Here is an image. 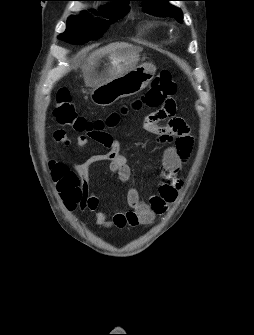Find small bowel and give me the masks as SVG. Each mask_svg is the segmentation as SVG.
I'll list each match as a JSON object with an SVG mask.
<instances>
[{"mask_svg": "<svg viewBox=\"0 0 254 335\" xmlns=\"http://www.w3.org/2000/svg\"><path fill=\"white\" fill-rule=\"evenodd\" d=\"M175 110L174 96L165 98L162 108H152L145 122V129L148 132L158 135L164 140L174 136V142L166 147L162 155L161 166L165 181L160 185L156 195L145 202L141 199L138 191L131 187L127 192V203L130 210L116 213L98 211V199L88 192L90 167L98 162H109V171L122 182L130 180L131 169L126 156L121 151L120 143L112 136L108 135V140L103 142L92 135L84 134L77 139L79 147L85 146L92 140L107 144L109 151L92 155L83 162L72 163L71 167L62 162L53 166V178L68 208L73 209L78 205L81 210L95 212V222L98 225L118 228L149 225L156 216L163 214L182 188L179 174L183 165L190 158L193 149V138L190 135L189 127L183 120L175 117ZM157 120H160L161 124ZM54 137L58 143L64 145L70 143V139L64 136L61 131H56ZM59 164H62L66 171L60 170ZM78 187L82 197L76 201L72 195Z\"/></svg>", "mask_w": 254, "mask_h": 335, "instance_id": "obj_1", "label": "small bowel"}]
</instances>
